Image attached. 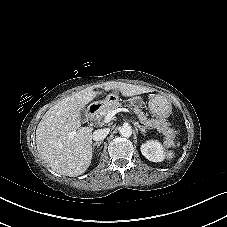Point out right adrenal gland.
<instances>
[{"label":"right adrenal gland","mask_w":227,"mask_h":227,"mask_svg":"<svg viewBox=\"0 0 227 227\" xmlns=\"http://www.w3.org/2000/svg\"><path fill=\"white\" fill-rule=\"evenodd\" d=\"M101 144H102L101 141H100V142H95V143H93V145H92V150H93V152H94L95 146L99 147Z\"/></svg>","instance_id":"2a0ac1e0"}]
</instances>
